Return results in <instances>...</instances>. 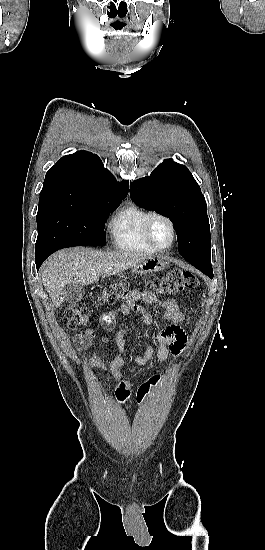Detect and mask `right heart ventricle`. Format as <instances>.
I'll return each instance as SVG.
<instances>
[{
    "label": "right heart ventricle",
    "mask_w": 265,
    "mask_h": 550,
    "mask_svg": "<svg viewBox=\"0 0 265 550\" xmlns=\"http://www.w3.org/2000/svg\"><path fill=\"white\" fill-rule=\"evenodd\" d=\"M152 212L130 204L116 213L109 223V232L116 248L126 252L154 253L144 236V224Z\"/></svg>",
    "instance_id": "right-heart-ventricle-1"
}]
</instances>
